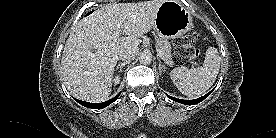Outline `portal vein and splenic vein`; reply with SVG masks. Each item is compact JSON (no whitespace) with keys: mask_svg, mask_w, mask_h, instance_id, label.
<instances>
[{"mask_svg":"<svg viewBox=\"0 0 276 138\" xmlns=\"http://www.w3.org/2000/svg\"><path fill=\"white\" fill-rule=\"evenodd\" d=\"M120 34H121V27H120V25H118V28L113 32V36H115V37H120ZM156 51H157L158 56H159L162 60L165 61L163 52H162L160 49H158V48H156ZM165 62H166V61H165ZM166 63L169 64V62H166Z\"/></svg>","mask_w":276,"mask_h":138,"instance_id":"1","label":"portal vein and splenic vein"}]
</instances>
